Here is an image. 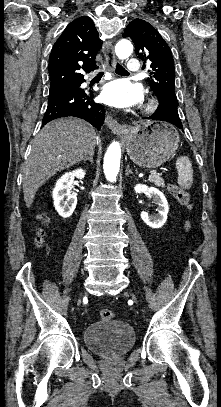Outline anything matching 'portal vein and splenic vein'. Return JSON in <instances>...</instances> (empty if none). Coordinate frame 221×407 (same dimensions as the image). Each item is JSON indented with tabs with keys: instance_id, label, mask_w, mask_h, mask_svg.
Segmentation results:
<instances>
[{
	"instance_id": "1",
	"label": "portal vein and splenic vein",
	"mask_w": 221,
	"mask_h": 407,
	"mask_svg": "<svg viewBox=\"0 0 221 407\" xmlns=\"http://www.w3.org/2000/svg\"><path fill=\"white\" fill-rule=\"evenodd\" d=\"M149 173H150V175L155 174L156 170H151Z\"/></svg>"
}]
</instances>
